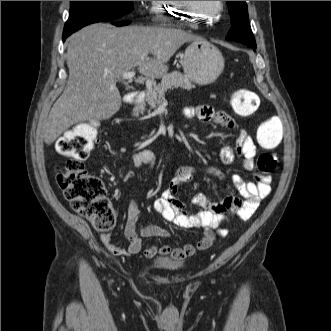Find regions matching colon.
I'll use <instances>...</instances> for the list:
<instances>
[{"label": "colon", "instance_id": "colon-1", "mask_svg": "<svg viewBox=\"0 0 331 331\" xmlns=\"http://www.w3.org/2000/svg\"><path fill=\"white\" fill-rule=\"evenodd\" d=\"M234 111L240 116H249L259 107L258 96L246 89H235L230 96ZM97 127L82 123L67 131L56 144L58 154L66 159L56 173V181L72 209L88 219L98 231H109L116 221L115 211L107 198L102 180L90 174L84 161L97 141ZM283 122L278 116L265 120L258 128L257 141L265 149L277 147L282 141ZM277 157L263 152L257 158V169L263 174L273 173L277 168ZM212 241L199 240L198 247L207 248Z\"/></svg>", "mask_w": 331, "mask_h": 331}]
</instances>
